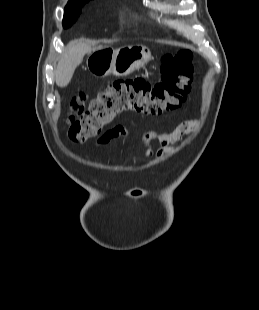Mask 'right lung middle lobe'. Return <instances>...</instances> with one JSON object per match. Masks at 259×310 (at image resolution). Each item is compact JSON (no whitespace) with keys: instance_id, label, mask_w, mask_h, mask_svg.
Here are the masks:
<instances>
[{"instance_id":"right-lung-middle-lobe-1","label":"right lung middle lobe","mask_w":259,"mask_h":310,"mask_svg":"<svg viewBox=\"0 0 259 310\" xmlns=\"http://www.w3.org/2000/svg\"><path fill=\"white\" fill-rule=\"evenodd\" d=\"M88 2V1H84L82 3H80L79 5L69 9V10H65L64 12V18H63V27L64 28H68L70 27L73 23L76 22V20L78 19L80 13H81V9L83 7V5Z\"/></svg>"}]
</instances>
